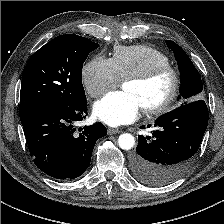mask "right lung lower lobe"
<instances>
[{"mask_svg":"<svg viewBox=\"0 0 224 224\" xmlns=\"http://www.w3.org/2000/svg\"><path fill=\"white\" fill-rule=\"evenodd\" d=\"M87 116L86 101L76 106L46 105L20 116L31 157L47 175L74 179L89 167L96 141L107 134L101 123L75 132L74 123Z\"/></svg>","mask_w":224,"mask_h":224,"instance_id":"right-lung-lower-lobe-1","label":"right lung lower lobe"}]
</instances>
